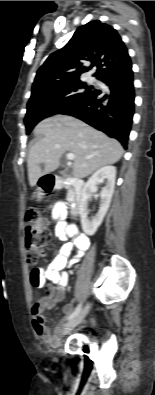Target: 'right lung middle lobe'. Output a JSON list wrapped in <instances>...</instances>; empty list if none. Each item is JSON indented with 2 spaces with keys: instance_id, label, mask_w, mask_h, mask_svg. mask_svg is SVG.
Instances as JSON below:
<instances>
[{
  "instance_id": "dd1d6c3e",
  "label": "right lung middle lobe",
  "mask_w": 155,
  "mask_h": 395,
  "mask_svg": "<svg viewBox=\"0 0 155 395\" xmlns=\"http://www.w3.org/2000/svg\"><path fill=\"white\" fill-rule=\"evenodd\" d=\"M92 89V86L78 79L49 85L32 95L27 104L25 116L26 133L29 134L33 127L44 118L60 114L82 100L93 92Z\"/></svg>"
}]
</instances>
